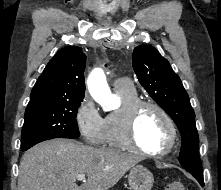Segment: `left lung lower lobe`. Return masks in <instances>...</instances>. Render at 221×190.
<instances>
[{
    "instance_id": "left-lung-lower-lobe-1",
    "label": "left lung lower lobe",
    "mask_w": 221,
    "mask_h": 190,
    "mask_svg": "<svg viewBox=\"0 0 221 190\" xmlns=\"http://www.w3.org/2000/svg\"><path fill=\"white\" fill-rule=\"evenodd\" d=\"M193 176L198 180L201 186H204L203 176H198V175H193Z\"/></svg>"
}]
</instances>
